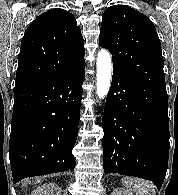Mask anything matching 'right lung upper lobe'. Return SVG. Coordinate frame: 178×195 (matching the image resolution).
Here are the masks:
<instances>
[{"label":"right lung upper lobe","mask_w":178,"mask_h":195,"mask_svg":"<svg viewBox=\"0 0 178 195\" xmlns=\"http://www.w3.org/2000/svg\"><path fill=\"white\" fill-rule=\"evenodd\" d=\"M84 54L83 37L74 16L61 8L49 10L24 34L15 84L71 73L85 65Z\"/></svg>","instance_id":"1"}]
</instances>
